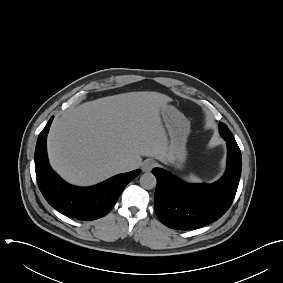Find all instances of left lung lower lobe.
Returning <instances> with one entry per match:
<instances>
[{"instance_id":"obj_1","label":"left lung lower lobe","mask_w":283,"mask_h":283,"mask_svg":"<svg viewBox=\"0 0 283 283\" xmlns=\"http://www.w3.org/2000/svg\"><path fill=\"white\" fill-rule=\"evenodd\" d=\"M227 141V169L213 184H187L170 173L154 168L157 178L155 212L166 226L177 230L197 229L219 219L235 197L242 169L241 151L234 138Z\"/></svg>"}]
</instances>
